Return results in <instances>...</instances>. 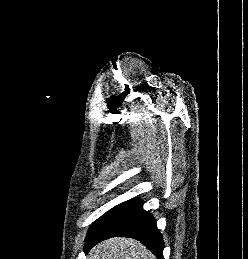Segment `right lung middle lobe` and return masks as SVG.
I'll return each mask as SVG.
<instances>
[{
	"label": "right lung middle lobe",
	"instance_id": "obj_1",
	"mask_svg": "<svg viewBox=\"0 0 248 259\" xmlns=\"http://www.w3.org/2000/svg\"><path fill=\"white\" fill-rule=\"evenodd\" d=\"M107 214V212L102 215L99 219H97L90 227L89 231H88V235L97 227V225L100 223V221L103 219V217Z\"/></svg>",
	"mask_w": 248,
	"mask_h": 259
}]
</instances>
